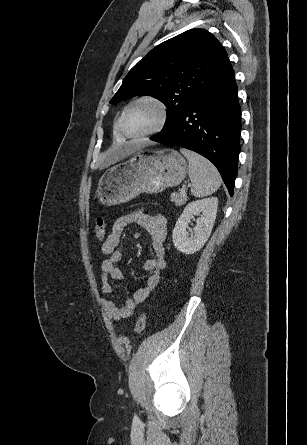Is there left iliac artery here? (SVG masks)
<instances>
[{
    "instance_id": "obj_1",
    "label": "left iliac artery",
    "mask_w": 307,
    "mask_h": 445,
    "mask_svg": "<svg viewBox=\"0 0 307 445\" xmlns=\"http://www.w3.org/2000/svg\"><path fill=\"white\" fill-rule=\"evenodd\" d=\"M134 421H135V422H138V421H139V418L137 417V415H134Z\"/></svg>"
}]
</instances>
